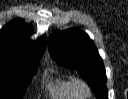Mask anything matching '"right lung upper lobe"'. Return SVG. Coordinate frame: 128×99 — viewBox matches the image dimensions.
Returning a JSON list of instances; mask_svg holds the SVG:
<instances>
[{
  "label": "right lung upper lobe",
  "instance_id": "right-lung-upper-lobe-1",
  "mask_svg": "<svg viewBox=\"0 0 128 99\" xmlns=\"http://www.w3.org/2000/svg\"><path fill=\"white\" fill-rule=\"evenodd\" d=\"M31 28L22 19L7 23L0 30V57H37L42 56L47 40L43 36L36 41L29 39Z\"/></svg>",
  "mask_w": 128,
  "mask_h": 99
}]
</instances>
